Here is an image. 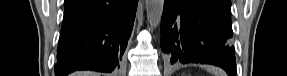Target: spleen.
Masks as SVG:
<instances>
[{
	"instance_id": "spleen-1",
	"label": "spleen",
	"mask_w": 287,
	"mask_h": 76,
	"mask_svg": "<svg viewBox=\"0 0 287 76\" xmlns=\"http://www.w3.org/2000/svg\"><path fill=\"white\" fill-rule=\"evenodd\" d=\"M208 71L214 74V76H225V72L222 69L216 67H208Z\"/></svg>"
}]
</instances>
